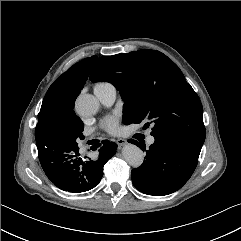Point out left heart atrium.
<instances>
[{
	"label": "left heart atrium",
	"mask_w": 241,
	"mask_h": 241,
	"mask_svg": "<svg viewBox=\"0 0 241 241\" xmlns=\"http://www.w3.org/2000/svg\"><path fill=\"white\" fill-rule=\"evenodd\" d=\"M103 127L110 133H116L119 129L118 118L113 116L105 119L103 122Z\"/></svg>",
	"instance_id": "39dd6f15"
}]
</instances>
